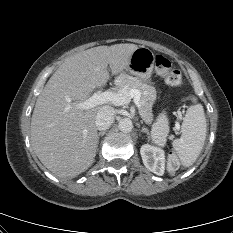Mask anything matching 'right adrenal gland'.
I'll return each instance as SVG.
<instances>
[{
	"label": "right adrenal gland",
	"instance_id": "2a0ac1e0",
	"mask_svg": "<svg viewBox=\"0 0 233 233\" xmlns=\"http://www.w3.org/2000/svg\"><path fill=\"white\" fill-rule=\"evenodd\" d=\"M105 133H106V131H101V132H99V133H98V140H99V137H100V136H103Z\"/></svg>",
	"mask_w": 233,
	"mask_h": 233
}]
</instances>
